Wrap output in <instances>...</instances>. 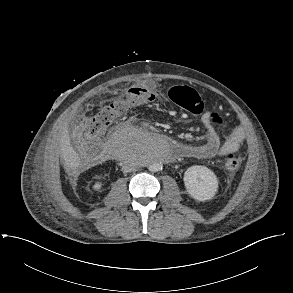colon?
<instances>
[{"instance_id": "obj_1", "label": "colon", "mask_w": 293, "mask_h": 293, "mask_svg": "<svg viewBox=\"0 0 293 293\" xmlns=\"http://www.w3.org/2000/svg\"><path fill=\"white\" fill-rule=\"evenodd\" d=\"M172 99L184 109L198 111L203 102L198 93L189 87L178 86L172 89ZM154 93L145 87L136 86L130 88L123 97L103 106L99 111L88 118L86 122L85 135L88 139H94L104 133L107 127L118 120L123 114L132 108L146 105L152 102ZM208 120L211 126H222L224 119L220 112L211 111L208 113ZM241 164L240 157L234 152L224 154V167L230 172L236 171Z\"/></svg>"}]
</instances>
